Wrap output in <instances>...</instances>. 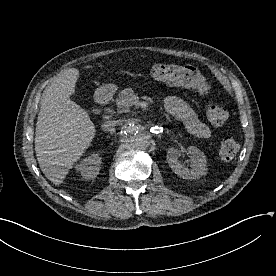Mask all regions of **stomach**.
<instances>
[{
	"instance_id": "obj_1",
	"label": "stomach",
	"mask_w": 276,
	"mask_h": 276,
	"mask_svg": "<svg viewBox=\"0 0 276 276\" xmlns=\"http://www.w3.org/2000/svg\"><path fill=\"white\" fill-rule=\"evenodd\" d=\"M117 90V86L114 84H106L97 88L96 95L99 97L113 94Z\"/></svg>"
}]
</instances>
